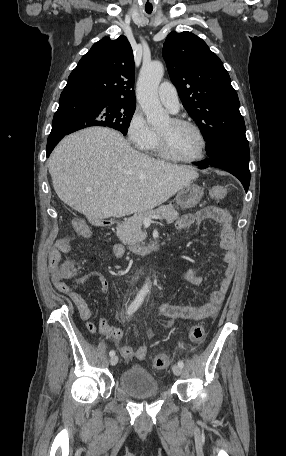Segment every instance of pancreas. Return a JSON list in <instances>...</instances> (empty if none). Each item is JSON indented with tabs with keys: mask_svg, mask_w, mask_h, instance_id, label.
<instances>
[{
	"mask_svg": "<svg viewBox=\"0 0 286 456\" xmlns=\"http://www.w3.org/2000/svg\"><path fill=\"white\" fill-rule=\"evenodd\" d=\"M154 215L164 218L167 223L174 222L179 218V213L171 204L161 206L155 210L137 213L117 226V237L123 244L129 246L143 242L146 238L145 233L141 229L144 217Z\"/></svg>",
	"mask_w": 286,
	"mask_h": 456,
	"instance_id": "pancreas-1",
	"label": "pancreas"
}]
</instances>
